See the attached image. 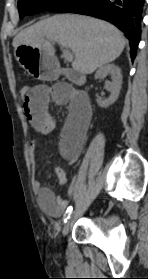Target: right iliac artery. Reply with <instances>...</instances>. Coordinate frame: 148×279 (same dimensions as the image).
<instances>
[{"mask_svg": "<svg viewBox=\"0 0 148 279\" xmlns=\"http://www.w3.org/2000/svg\"><path fill=\"white\" fill-rule=\"evenodd\" d=\"M72 211H73V207L70 206L67 208L66 212L64 213V216H63V222L66 223L67 220L70 218L71 214H72Z\"/></svg>", "mask_w": 148, "mask_h": 279, "instance_id": "82829eb1", "label": "right iliac artery"}]
</instances>
